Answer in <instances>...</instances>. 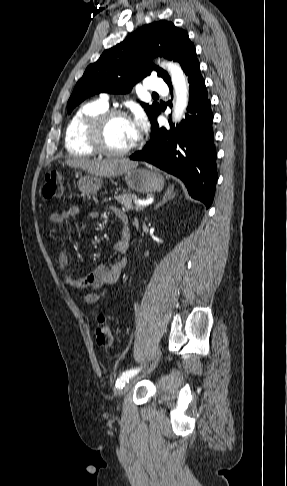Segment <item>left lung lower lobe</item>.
<instances>
[{"instance_id":"obj_1","label":"left lung lower lobe","mask_w":287,"mask_h":486,"mask_svg":"<svg viewBox=\"0 0 287 486\" xmlns=\"http://www.w3.org/2000/svg\"><path fill=\"white\" fill-rule=\"evenodd\" d=\"M184 72L190 84L185 119L176 127L169 120L170 129L167 130L159 127L156 117L151 122L150 141L130 159L146 161L182 179L189 194L209 208L217 182L211 103L196 57ZM168 86L172 92V84Z\"/></svg>"}]
</instances>
